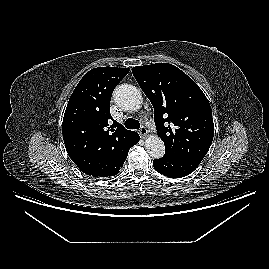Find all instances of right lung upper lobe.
I'll use <instances>...</instances> for the list:
<instances>
[{
	"label": "right lung upper lobe",
	"instance_id": "1",
	"mask_svg": "<svg viewBox=\"0 0 269 269\" xmlns=\"http://www.w3.org/2000/svg\"><path fill=\"white\" fill-rule=\"evenodd\" d=\"M129 68L90 70L73 91L63 118V139L72 161L93 177L119 173L137 132L127 130L110 115L114 88Z\"/></svg>",
	"mask_w": 269,
	"mask_h": 269
}]
</instances>
